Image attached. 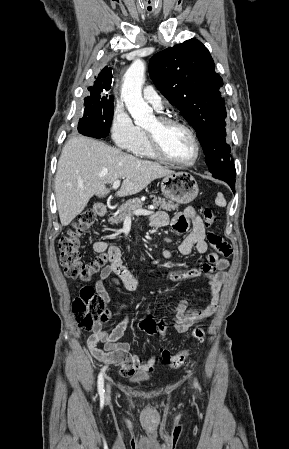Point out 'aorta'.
Segmentation results:
<instances>
[{"label": "aorta", "instance_id": "762f6f07", "mask_svg": "<svg viewBox=\"0 0 289 449\" xmlns=\"http://www.w3.org/2000/svg\"><path fill=\"white\" fill-rule=\"evenodd\" d=\"M145 77V63L136 59L124 75L121 97L136 125L144 126L153 120L152 108L143 100L141 88Z\"/></svg>", "mask_w": 289, "mask_h": 449}]
</instances>
